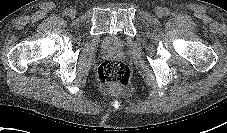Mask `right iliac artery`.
<instances>
[{
  "label": "right iliac artery",
  "instance_id": "1",
  "mask_svg": "<svg viewBox=\"0 0 227 133\" xmlns=\"http://www.w3.org/2000/svg\"><path fill=\"white\" fill-rule=\"evenodd\" d=\"M64 12H65L66 15H69L70 9H65Z\"/></svg>",
  "mask_w": 227,
  "mask_h": 133
}]
</instances>
